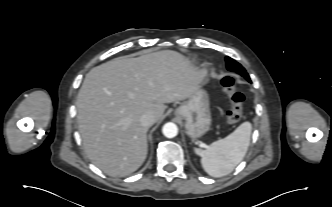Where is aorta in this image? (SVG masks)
<instances>
[{"label":"aorta","mask_w":332,"mask_h":207,"mask_svg":"<svg viewBox=\"0 0 332 207\" xmlns=\"http://www.w3.org/2000/svg\"><path fill=\"white\" fill-rule=\"evenodd\" d=\"M163 135L167 138H173L178 134V127L172 122L166 123L162 128Z\"/></svg>","instance_id":"obj_1"}]
</instances>
